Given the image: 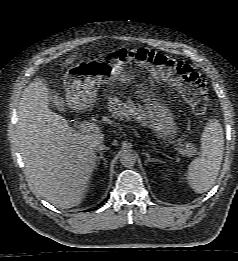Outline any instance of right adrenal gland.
<instances>
[{"label":"right adrenal gland","instance_id":"1","mask_svg":"<svg viewBox=\"0 0 238 261\" xmlns=\"http://www.w3.org/2000/svg\"><path fill=\"white\" fill-rule=\"evenodd\" d=\"M109 148L108 147H103L102 150L99 152V156L97 157V163H96V166H98L100 164V159H102L104 161V164L106 165V159L105 157L103 156V150H108Z\"/></svg>","mask_w":238,"mask_h":261}]
</instances>
